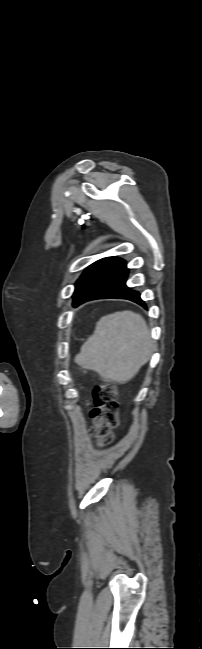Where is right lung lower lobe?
I'll return each instance as SVG.
<instances>
[{"label":"right lung lower lobe","instance_id":"98d812e1","mask_svg":"<svg viewBox=\"0 0 202 649\" xmlns=\"http://www.w3.org/2000/svg\"><path fill=\"white\" fill-rule=\"evenodd\" d=\"M127 276L125 260L115 258L87 285L77 305L92 299L115 298L131 300L147 308L140 294L126 286Z\"/></svg>","mask_w":202,"mask_h":649}]
</instances>
